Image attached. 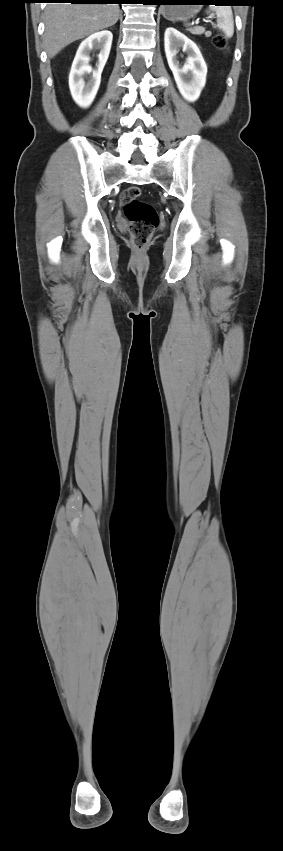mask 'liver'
Masks as SVG:
<instances>
[{
    "instance_id": "obj_1",
    "label": "liver",
    "mask_w": 283,
    "mask_h": 851,
    "mask_svg": "<svg viewBox=\"0 0 283 851\" xmlns=\"http://www.w3.org/2000/svg\"><path fill=\"white\" fill-rule=\"evenodd\" d=\"M117 4L50 3L45 9L44 44L49 58L76 40L113 26Z\"/></svg>"
}]
</instances>
